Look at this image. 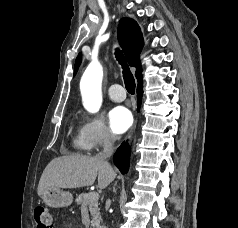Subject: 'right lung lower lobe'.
<instances>
[{"mask_svg": "<svg viewBox=\"0 0 238 228\" xmlns=\"http://www.w3.org/2000/svg\"><path fill=\"white\" fill-rule=\"evenodd\" d=\"M137 98H138V109L141 104L140 98L143 94V82L142 79L138 81V88H137ZM129 156H130V148L127 147L124 142L121 146L117 149L113 156V161L115 165L119 168L122 174L127 173L129 168Z\"/></svg>", "mask_w": 238, "mask_h": 228, "instance_id": "1", "label": "right lung lower lobe"}]
</instances>
